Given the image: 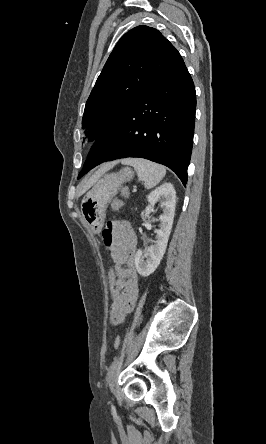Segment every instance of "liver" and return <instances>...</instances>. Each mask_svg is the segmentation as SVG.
Masks as SVG:
<instances>
[{"instance_id": "1", "label": "liver", "mask_w": 266, "mask_h": 444, "mask_svg": "<svg viewBox=\"0 0 266 444\" xmlns=\"http://www.w3.org/2000/svg\"><path fill=\"white\" fill-rule=\"evenodd\" d=\"M117 162H110L102 165L83 185L82 190L80 194H83L86 192L89 188H91L99 179L100 177L105 174L108 170L113 168L116 165Z\"/></svg>"}]
</instances>
